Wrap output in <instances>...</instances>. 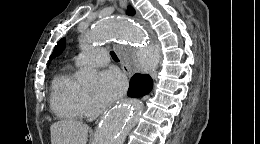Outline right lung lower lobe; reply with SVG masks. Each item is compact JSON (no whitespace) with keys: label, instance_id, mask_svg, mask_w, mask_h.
Here are the masks:
<instances>
[{"label":"right lung lower lobe","instance_id":"1","mask_svg":"<svg viewBox=\"0 0 260 144\" xmlns=\"http://www.w3.org/2000/svg\"><path fill=\"white\" fill-rule=\"evenodd\" d=\"M153 87V80L147 74L136 73L130 80L128 96L141 97L147 95Z\"/></svg>","mask_w":260,"mask_h":144}]
</instances>
